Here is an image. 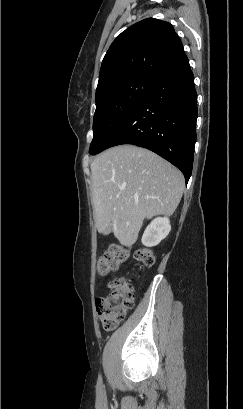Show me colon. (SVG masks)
<instances>
[{
    "label": "colon",
    "instance_id": "colon-1",
    "mask_svg": "<svg viewBox=\"0 0 243 409\" xmlns=\"http://www.w3.org/2000/svg\"><path fill=\"white\" fill-rule=\"evenodd\" d=\"M129 251L125 247L111 245L103 255L98 258L97 271L105 276L116 271L128 258ZM136 261L152 266L154 264L153 252L148 247L135 251ZM111 294L97 299V311L101 325L105 331H113L123 320L126 312L133 306L134 289L131 278H118L110 282Z\"/></svg>",
    "mask_w": 243,
    "mask_h": 409
}]
</instances>
